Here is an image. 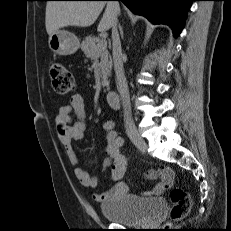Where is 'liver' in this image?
Here are the masks:
<instances>
[{"label":"liver","instance_id":"liver-1","mask_svg":"<svg viewBox=\"0 0 231 231\" xmlns=\"http://www.w3.org/2000/svg\"><path fill=\"white\" fill-rule=\"evenodd\" d=\"M106 5L97 30H109L117 21L119 7L114 2L104 1H48L46 5L45 25L49 36L60 28L68 26L88 27L99 17Z\"/></svg>","mask_w":231,"mask_h":231}]
</instances>
